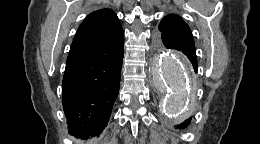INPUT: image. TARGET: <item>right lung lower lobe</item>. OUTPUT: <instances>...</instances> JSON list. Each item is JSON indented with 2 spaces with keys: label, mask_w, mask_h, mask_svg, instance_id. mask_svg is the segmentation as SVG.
<instances>
[{
  "label": "right lung lower lobe",
  "mask_w": 260,
  "mask_h": 144,
  "mask_svg": "<svg viewBox=\"0 0 260 144\" xmlns=\"http://www.w3.org/2000/svg\"><path fill=\"white\" fill-rule=\"evenodd\" d=\"M124 35L69 52L62 103L69 133L87 140L106 127L119 93Z\"/></svg>",
  "instance_id": "98d812e1"
}]
</instances>
